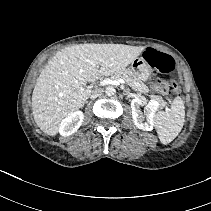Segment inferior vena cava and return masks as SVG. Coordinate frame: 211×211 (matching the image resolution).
<instances>
[{
  "label": "inferior vena cava",
  "instance_id": "1",
  "mask_svg": "<svg viewBox=\"0 0 211 211\" xmlns=\"http://www.w3.org/2000/svg\"><path fill=\"white\" fill-rule=\"evenodd\" d=\"M104 90L103 89H95L91 92L90 98H97L103 94Z\"/></svg>",
  "mask_w": 211,
  "mask_h": 211
}]
</instances>
